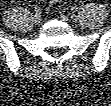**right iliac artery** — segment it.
<instances>
[{
    "label": "right iliac artery",
    "instance_id": "82829eb1",
    "mask_svg": "<svg viewBox=\"0 0 111 106\" xmlns=\"http://www.w3.org/2000/svg\"><path fill=\"white\" fill-rule=\"evenodd\" d=\"M42 11V7H40V6H36L35 7V12L36 13H39V12H41Z\"/></svg>",
    "mask_w": 111,
    "mask_h": 106
}]
</instances>
